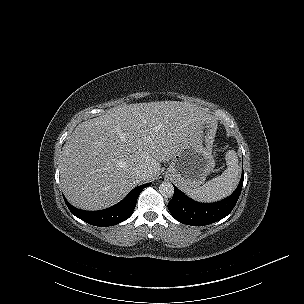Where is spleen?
Here are the masks:
<instances>
[{
	"mask_svg": "<svg viewBox=\"0 0 304 304\" xmlns=\"http://www.w3.org/2000/svg\"><path fill=\"white\" fill-rule=\"evenodd\" d=\"M225 159L227 169L221 175L212 178L199 188L185 189L186 194L201 202H214L230 195L237 186L240 167L234 150H228Z\"/></svg>",
	"mask_w": 304,
	"mask_h": 304,
	"instance_id": "1",
	"label": "spleen"
}]
</instances>
